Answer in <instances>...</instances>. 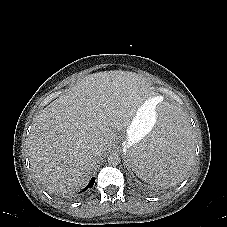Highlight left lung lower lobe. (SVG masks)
Returning <instances> with one entry per match:
<instances>
[{
  "label": "left lung lower lobe",
  "mask_w": 227,
  "mask_h": 227,
  "mask_svg": "<svg viewBox=\"0 0 227 227\" xmlns=\"http://www.w3.org/2000/svg\"><path fill=\"white\" fill-rule=\"evenodd\" d=\"M177 125V124H176ZM192 141L191 135H185L179 131L174 132L172 142L163 151V161L160 163V169L166 173H170L171 167L178 161L182 151Z\"/></svg>",
  "instance_id": "1"
}]
</instances>
